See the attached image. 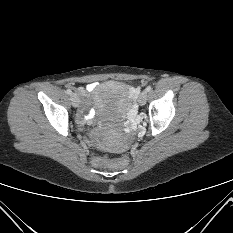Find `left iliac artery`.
Here are the masks:
<instances>
[{
    "label": "left iliac artery",
    "instance_id": "44dca946",
    "mask_svg": "<svg viewBox=\"0 0 233 233\" xmlns=\"http://www.w3.org/2000/svg\"><path fill=\"white\" fill-rule=\"evenodd\" d=\"M151 89H152V87H151V86H147V87H146V91H147V92H150V91H151Z\"/></svg>",
    "mask_w": 233,
    "mask_h": 233
}]
</instances>
